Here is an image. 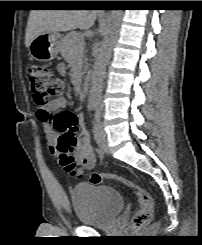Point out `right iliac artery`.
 <instances>
[{"mask_svg": "<svg viewBox=\"0 0 202 245\" xmlns=\"http://www.w3.org/2000/svg\"><path fill=\"white\" fill-rule=\"evenodd\" d=\"M89 109L91 110V109H92V107H91V106H89Z\"/></svg>", "mask_w": 202, "mask_h": 245, "instance_id": "right-iliac-artery-1", "label": "right iliac artery"}]
</instances>
